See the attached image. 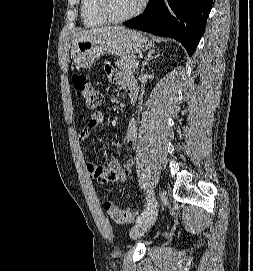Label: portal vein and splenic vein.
Here are the masks:
<instances>
[{"instance_id":"1","label":"portal vein and splenic vein","mask_w":253,"mask_h":271,"mask_svg":"<svg viewBox=\"0 0 253 271\" xmlns=\"http://www.w3.org/2000/svg\"><path fill=\"white\" fill-rule=\"evenodd\" d=\"M134 65H135V66H138V65H139V61H135V62H134Z\"/></svg>"}]
</instances>
